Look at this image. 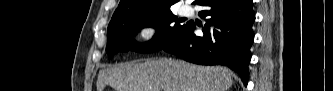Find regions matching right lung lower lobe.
I'll return each instance as SVG.
<instances>
[{"instance_id":"1","label":"right lung lower lobe","mask_w":333,"mask_h":91,"mask_svg":"<svg viewBox=\"0 0 333 91\" xmlns=\"http://www.w3.org/2000/svg\"><path fill=\"white\" fill-rule=\"evenodd\" d=\"M198 5L206 7L201 17H209L202 27L204 35L196 36V24L189 21L161 50L196 64L228 66L247 85L254 39L252 0H201Z\"/></svg>"}]
</instances>
